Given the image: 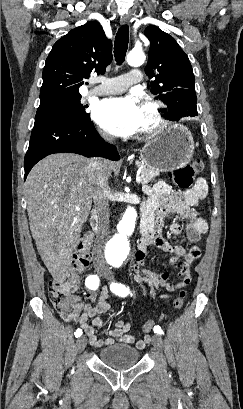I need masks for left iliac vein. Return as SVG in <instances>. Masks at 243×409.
Listing matches in <instances>:
<instances>
[{"instance_id":"left-iliac-vein-1","label":"left iliac vein","mask_w":243,"mask_h":409,"mask_svg":"<svg viewBox=\"0 0 243 409\" xmlns=\"http://www.w3.org/2000/svg\"><path fill=\"white\" fill-rule=\"evenodd\" d=\"M105 278H107V279H111V276L110 275H105ZM152 345L157 349V350H162V348H163V340H162V338L159 336V335H157V334H155L153 337H152Z\"/></svg>"}]
</instances>
